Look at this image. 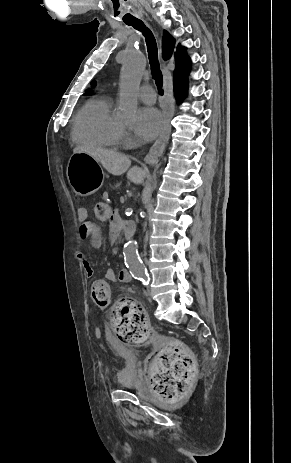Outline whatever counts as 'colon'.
Listing matches in <instances>:
<instances>
[{
  "instance_id": "colon-1",
  "label": "colon",
  "mask_w": 291,
  "mask_h": 463,
  "mask_svg": "<svg viewBox=\"0 0 291 463\" xmlns=\"http://www.w3.org/2000/svg\"><path fill=\"white\" fill-rule=\"evenodd\" d=\"M93 218L104 224L112 218V205H93ZM91 298L99 307L111 303L112 292L105 280H96L91 286ZM111 324L115 335L125 343L141 344L151 339L148 318L142 307L131 300L117 301L111 310ZM147 376L156 395L173 402L184 397L195 375V360L189 349L178 341L161 343L154 357L148 362Z\"/></svg>"
}]
</instances>
